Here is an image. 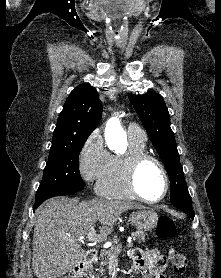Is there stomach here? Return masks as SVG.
I'll list each match as a JSON object with an SVG mask.
<instances>
[{
  "label": "stomach",
  "instance_id": "1",
  "mask_svg": "<svg viewBox=\"0 0 221 278\" xmlns=\"http://www.w3.org/2000/svg\"><path fill=\"white\" fill-rule=\"evenodd\" d=\"M157 213L149 209H140L131 214V222L139 232L150 231L158 224Z\"/></svg>",
  "mask_w": 221,
  "mask_h": 278
}]
</instances>
